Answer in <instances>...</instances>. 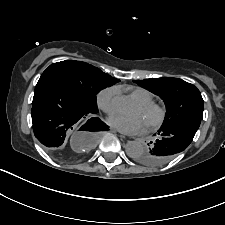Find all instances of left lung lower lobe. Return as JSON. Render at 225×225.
Returning <instances> with one entry per match:
<instances>
[{"mask_svg":"<svg viewBox=\"0 0 225 225\" xmlns=\"http://www.w3.org/2000/svg\"><path fill=\"white\" fill-rule=\"evenodd\" d=\"M200 123V119H187L160 129L157 132L156 141L149 150H146L147 158L142 163L149 166H160L169 162L189 146Z\"/></svg>","mask_w":225,"mask_h":225,"instance_id":"obj_1","label":"left lung lower lobe"}]
</instances>
